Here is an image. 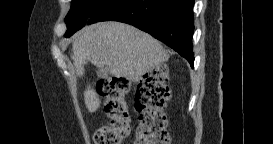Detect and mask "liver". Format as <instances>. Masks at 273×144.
<instances>
[{
	"mask_svg": "<svg viewBox=\"0 0 273 144\" xmlns=\"http://www.w3.org/2000/svg\"><path fill=\"white\" fill-rule=\"evenodd\" d=\"M76 75L82 77L87 61L116 77L139 80L168 59L159 41L139 29L120 22L97 23L83 28L72 45ZM85 105L90 113L101 104L96 91L87 86Z\"/></svg>",
	"mask_w": 273,
	"mask_h": 144,
	"instance_id": "obj_1",
	"label": "liver"
}]
</instances>
